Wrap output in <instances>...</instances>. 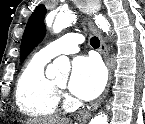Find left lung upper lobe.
<instances>
[{
    "label": "left lung upper lobe",
    "instance_id": "5c2ea615",
    "mask_svg": "<svg viewBox=\"0 0 145 124\" xmlns=\"http://www.w3.org/2000/svg\"><path fill=\"white\" fill-rule=\"evenodd\" d=\"M45 14V6L39 5L29 18L21 41V61H23L30 51L44 38L46 33V27L44 24Z\"/></svg>",
    "mask_w": 145,
    "mask_h": 124
}]
</instances>
